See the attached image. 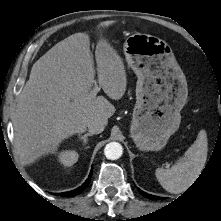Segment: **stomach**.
I'll return each instance as SVG.
<instances>
[{"instance_id":"0dacf381","label":"stomach","mask_w":221,"mask_h":221,"mask_svg":"<svg viewBox=\"0 0 221 221\" xmlns=\"http://www.w3.org/2000/svg\"><path fill=\"white\" fill-rule=\"evenodd\" d=\"M123 51L138 78L131 138L142 151H159L179 128L188 96L186 77L171 47L158 37L135 33Z\"/></svg>"}]
</instances>
